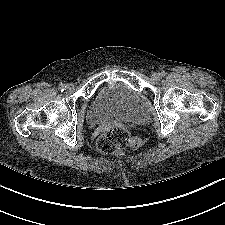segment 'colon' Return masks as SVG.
<instances>
[{"mask_svg":"<svg viewBox=\"0 0 225 225\" xmlns=\"http://www.w3.org/2000/svg\"><path fill=\"white\" fill-rule=\"evenodd\" d=\"M141 143L139 136L131 135L125 128L114 127L99 136L97 148L102 153L110 154L126 148L139 147Z\"/></svg>","mask_w":225,"mask_h":225,"instance_id":"1","label":"colon"}]
</instances>
